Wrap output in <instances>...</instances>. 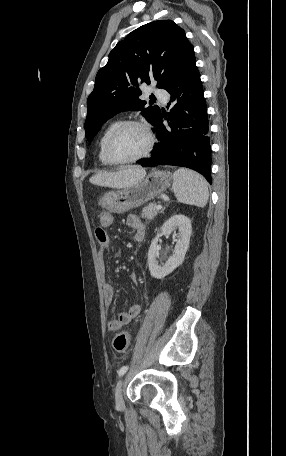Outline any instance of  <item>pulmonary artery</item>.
Instances as JSON below:
<instances>
[{
  "label": "pulmonary artery",
  "instance_id": "1",
  "mask_svg": "<svg viewBox=\"0 0 286 456\" xmlns=\"http://www.w3.org/2000/svg\"><path fill=\"white\" fill-rule=\"evenodd\" d=\"M154 94L156 97L162 99L163 101H166L167 100V93L165 90L163 89H157L154 91Z\"/></svg>",
  "mask_w": 286,
  "mask_h": 456
}]
</instances>
